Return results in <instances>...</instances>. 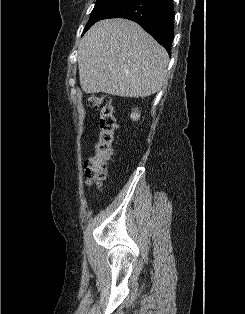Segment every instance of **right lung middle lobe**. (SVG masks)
<instances>
[{
  "label": "right lung middle lobe",
  "instance_id": "right-lung-middle-lobe-1",
  "mask_svg": "<svg viewBox=\"0 0 245 314\" xmlns=\"http://www.w3.org/2000/svg\"><path fill=\"white\" fill-rule=\"evenodd\" d=\"M126 0H97L94 9L91 12L90 19L85 26L83 34L97 21L102 20L116 7Z\"/></svg>",
  "mask_w": 245,
  "mask_h": 314
}]
</instances>
